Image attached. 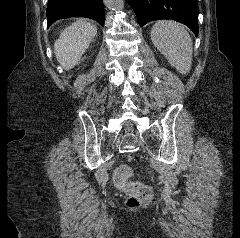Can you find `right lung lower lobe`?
Listing matches in <instances>:
<instances>
[{
  "mask_svg": "<svg viewBox=\"0 0 240 238\" xmlns=\"http://www.w3.org/2000/svg\"><path fill=\"white\" fill-rule=\"evenodd\" d=\"M69 17H88L104 25L102 0H48V27L59 19Z\"/></svg>",
  "mask_w": 240,
  "mask_h": 238,
  "instance_id": "1",
  "label": "right lung lower lobe"
}]
</instances>
